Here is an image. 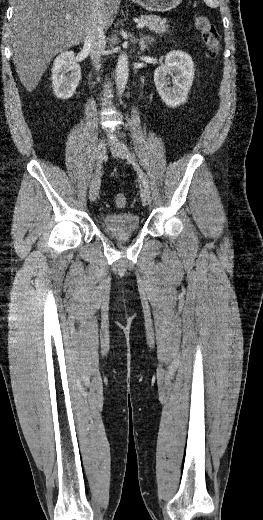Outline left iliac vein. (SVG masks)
<instances>
[{
    "instance_id": "left-iliac-vein-1",
    "label": "left iliac vein",
    "mask_w": 263,
    "mask_h": 520,
    "mask_svg": "<svg viewBox=\"0 0 263 520\" xmlns=\"http://www.w3.org/2000/svg\"><path fill=\"white\" fill-rule=\"evenodd\" d=\"M112 153L121 159H126L128 157V150L126 146L120 141L113 145ZM141 199L145 205H149L151 203V195L148 189L143 188L141 190Z\"/></svg>"
}]
</instances>
